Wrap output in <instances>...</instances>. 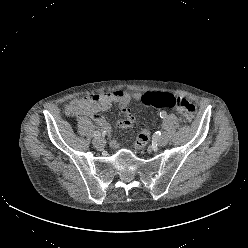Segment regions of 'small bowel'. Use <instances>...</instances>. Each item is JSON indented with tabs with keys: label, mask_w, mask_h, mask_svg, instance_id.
Returning <instances> with one entry per match:
<instances>
[{
	"label": "small bowel",
	"mask_w": 248,
	"mask_h": 248,
	"mask_svg": "<svg viewBox=\"0 0 248 248\" xmlns=\"http://www.w3.org/2000/svg\"><path fill=\"white\" fill-rule=\"evenodd\" d=\"M143 95L139 92L129 93L124 90H115L112 92L90 94L88 96L71 101L66 111L69 115L79 116L85 115L91 117L97 125L105 132H109L110 125L106 119L100 114L108 110L112 104L117 103L120 107V113L123 119L119 122V126L123 129L130 128L135 122V117L129 108L131 101L142 100ZM110 146L117 149L119 144L112 140Z\"/></svg>",
	"instance_id": "small-bowel-1"
}]
</instances>
